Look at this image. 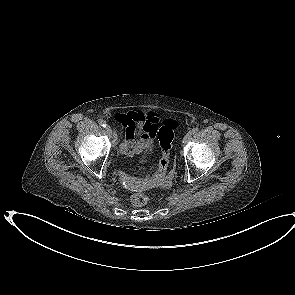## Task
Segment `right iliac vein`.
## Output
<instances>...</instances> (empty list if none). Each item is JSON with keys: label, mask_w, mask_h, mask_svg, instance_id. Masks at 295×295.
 <instances>
[{"label": "right iliac vein", "mask_w": 295, "mask_h": 295, "mask_svg": "<svg viewBox=\"0 0 295 295\" xmlns=\"http://www.w3.org/2000/svg\"><path fill=\"white\" fill-rule=\"evenodd\" d=\"M106 131L108 134H112V129L109 125H106Z\"/></svg>", "instance_id": "obj_1"}]
</instances>
